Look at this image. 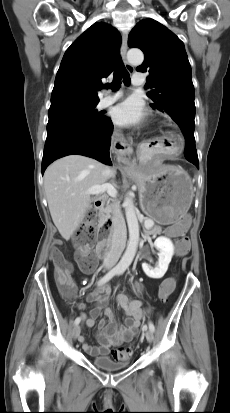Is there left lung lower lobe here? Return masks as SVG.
<instances>
[{
  "label": "left lung lower lobe",
  "instance_id": "left-lung-lower-lobe-1",
  "mask_svg": "<svg viewBox=\"0 0 230 413\" xmlns=\"http://www.w3.org/2000/svg\"><path fill=\"white\" fill-rule=\"evenodd\" d=\"M185 137V158L193 163L198 169H199V161H198V156H197V151L195 147V138H194V132L191 131H185L184 133Z\"/></svg>",
  "mask_w": 230,
  "mask_h": 413
}]
</instances>
